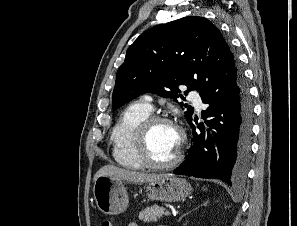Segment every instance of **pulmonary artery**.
<instances>
[{"label":"pulmonary artery","instance_id":"e3ab8cb5","mask_svg":"<svg viewBox=\"0 0 297 226\" xmlns=\"http://www.w3.org/2000/svg\"><path fill=\"white\" fill-rule=\"evenodd\" d=\"M189 99L196 105L197 108H202V101L201 98L199 97V94L197 91H191L188 95ZM151 97L149 95H144L142 97V102L144 103V105H146L148 108H150L151 110H153V106L151 103Z\"/></svg>","mask_w":297,"mask_h":226}]
</instances>
